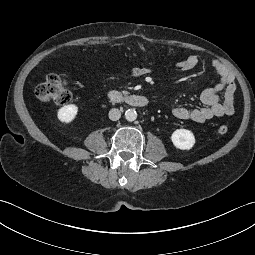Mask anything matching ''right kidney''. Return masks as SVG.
<instances>
[{"instance_id": "right-kidney-1", "label": "right kidney", "mask_w": 255, "mask_h": 255, "mask_svg": "<svg viewBox=\"0 0 255 255\" xmlns=\"http://www.w3.org/2000/svg\"><path fill=\"white\" fill-rule=\"evenodd\" d=\"M78 113V107L74 104L66 105L57 112V118L62 123H71Z\"/></svg>"}]
</instances>
